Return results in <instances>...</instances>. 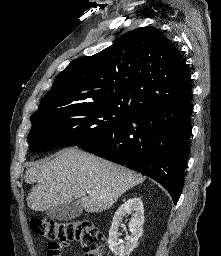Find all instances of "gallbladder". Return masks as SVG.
I'll list each match as a JSON object with an SVG mask.
<instances>
[{
	"instance_id": "gallbladder-1",
	"label": "gallbladder",
	"mask_w": 221,
	"mask_h": 256,
	"mask_svg": "<svg viewBox=\"0 0 221 256\" xmlns=\"http://www.w3.org/2000/svg\"><path fill=\"white\" fill-rule=\"evenodd\" d=\"M83 212V207L79 200L66 203V204H59L56 205L47 211V215L55 220L59 221H69L74 218L79 217Z\"/></svg>"
}]
</instances>
